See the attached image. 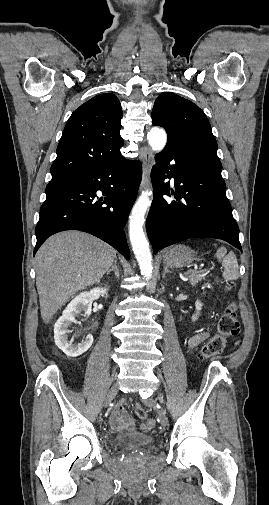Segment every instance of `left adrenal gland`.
<instances>
[{"mask_svg":"<svg viewBox=\"0 0 269 505\" xmlns=\"http://www.w3.org/2000/svg\"><path fill=\"white\" fill-rule=\"evenodd\" d=\"M167 273H172L167 267H164L163 278H165Z\"/></svg>","mask_w":269,"mask_h":505,"instance_id":"left-adrenal-gland-1","label":"left adrenal gland"}]
</instances>
